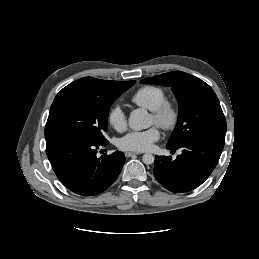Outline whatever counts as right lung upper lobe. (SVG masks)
Listing matches in <instances>:
<instances>
[{"instance_id": "cb5924a9", "label": "right lung upper lobe", "mask_w": 259, "mask_h": 259, "mask_svg": "<svg viewBox=\"0 0 259 259\" xmlns=\"http://www.w3.org/2000/svg\"><path fill=\"white\" fill-rule=\"evenodd\" d=\"M121 83L122 82L120 81H109L92 77H84L69 84L68 86L82 88L97 95H106L114 92Z\"/></svg>"}]
</instances>
